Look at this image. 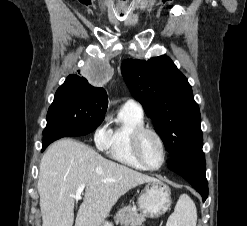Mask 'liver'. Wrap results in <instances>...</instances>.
<instances>
[{
	"mask_svg": "<svg viewBox=\"0 0 247 226\" xmlns=\"http://www.w3.org/2000/svg\"><path fill=\"white\" fill-rule=\"evenodd\" d=\"M153 180L81 142L61 139L47 149L39 166L42 226H73L74 195L83 183L86 189L75 226H101L122 195Z\"/></svg>",
	"mask_w": 247,
	"mask_h": 226,
	"instance_id": "obj_1",
	"label": "liver"
}]
</instances>
